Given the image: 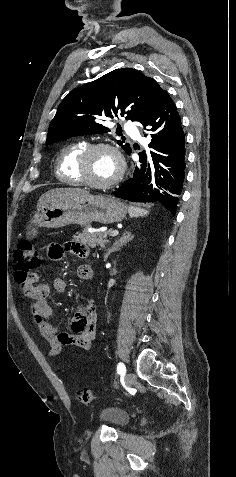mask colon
I'll return each instance as SVG.
<instances>
[{"label": "colon", "mask_w": 236, "mask_h": 477, "mask_svg": "<svg viewBox=\"0 0 236 477\" xmlns=\"http://www.w3.org/2000/svg\"><path fill=\"white\" fill-rule=\"evenodd\" d=\"M40 256L33 244L23 241L15 252V279L22 285L23 290L32 291L36 287ZM94 399V392L90 388L82 389L78 394V400L88 404Z\"/></svg>", "instance_id": "1"}]
</instances>
